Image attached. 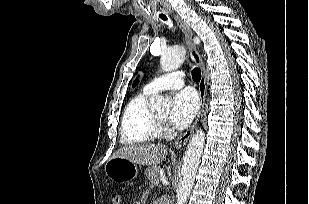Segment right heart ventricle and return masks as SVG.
<instances>
[{"label": "right heart ventricle", "mask_w": 309, "mask_h": 204, "mask_svg": "<svg viewBox=\"0 0 309 204\" xmlns=\"http://www.w3.org/2000/svg\"><path fill=\"white\" fill-rule=\"evenodd\" d=\"M150 96V93L143 91L126 105L120 125L122 143H146L159 136V124L148 106Z\"/></svg>", "instance_id": "1"}]
</instances>
